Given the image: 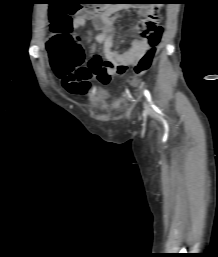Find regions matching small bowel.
<instances>
[{"instance_id": "c3829d8e", "label": "small bowel", "mask_w": 218, "mask_h": 257, "mask_svg": "<svg viewBox=\"0 0 218 257\" xmlns=\"http://www.w3.org/2000/svg\"><path fill=\"white\" fill-rule=\"evenodd\" d=\"M136 8L133 6H115L105 9L102 13L97 10L81 8L74 14L72 26L86 33L90 44L88 65L75 70L69 77L62 79L65 89L77 95L90 92L92 77L106 85L112 78L123 75L128 67L136 66L144 53L149 49V41L145 36L134 39L129 48L117 51L114 46L115 32L112 18L135 17ZM98 44H102L104 52H96Z\"/></svg>"}]
</instances>
